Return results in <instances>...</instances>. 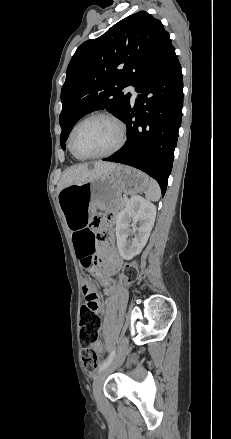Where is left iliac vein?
<instances>
[{"label":"left iliac vein","instance_id":"left-iliac-vein-1","mask_svg":"<svg viewBox=\"0 0 231 439\" xmlns=\"http://www.w3.org/2000/svg\"><path fill=\"white\" fill-rule=\"evenodd\" d=\"M127 348H128V339L127 337H124L121 341L120 348L116 357L105 369L100 371L95 377V380L93 382V396L99 408H102L104 405V400L102 396V388H103L104 380L111 372H113L117 367H119L122 364Z\"/></svg>","mask_w":231,"mask_h":439}]
</instances>
